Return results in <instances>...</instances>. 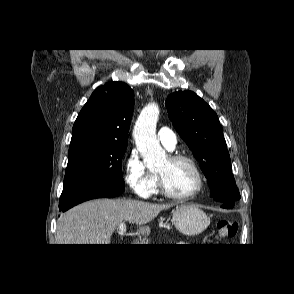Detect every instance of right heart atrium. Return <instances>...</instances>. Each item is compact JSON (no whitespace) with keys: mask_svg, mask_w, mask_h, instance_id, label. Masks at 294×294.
<instances>
[{"mask_svg":"<svg viewBox=\"0 0 294 294\" xmlns=\"http://www.w3.org/2000/svg\"><path fill=\"white\" fill-rule=\"evenodd\" d=\"M124 180L135 195L145 199L151 197L158 181L136 149H132L124 161Z\"/></svg>","mask_w":294,"mask_h":294,"instance_id":"obj_1","label":"right heart atrium"}]
</instances>
